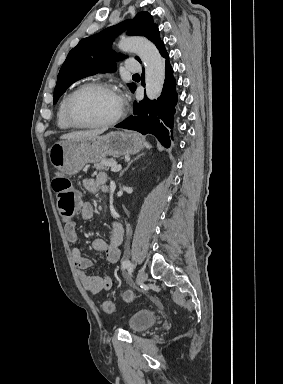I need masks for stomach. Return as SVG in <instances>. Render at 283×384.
I'll return each instance as SVG.
<instances>
[{"mask_svg": "<svg viewBox=\"0 0 283 384\" xmlns=\"http://www.w3.org/2000/svg\"><path fill=\"white\" fill-rule=\"evenodd\" d=\"M143 148L139 134L131 132H110L106 136H91L81 140L56 142L49 150V160L57 170L74 176L85 164H96L106 156H124L137 154Z\"/></svg>", "mask_w": 283, "mask_h": 384, "instance_id": "0dacf381", "label": "stomach"}]
</instances>
